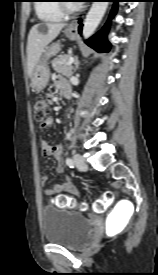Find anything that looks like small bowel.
<instances>
[{"label":"small bowel","mask_w":158,"mask_h":275,"mask_svg":"<svg viewBox=\"0 0 158 275\" xmlns=\"http://www.w3.org/2000/svg\"><path fill=\"white\" fill-rule=\"evenodd\" d=\"M56 86L62 90L63 88L68 87L69 85L68 83L63 79V78H58L56 80ZM53 124V120L52 119H47L43 125L44 128H49L51 127ZM40 149H41V154L44 157H53L58 161V164L56 166V172L58 174H63L64 173V166L61 162L62 156H63V147L61 145H55V146H51L49 145L46 141L42 140L40 142ZM48 178L46 175H42L39 178V182L40 184L43 186L46 184ZM66 191L69 192L73 195L78 196V191L75 188V186L72 183V180L70 178V176L68 175H64L62 178V183L61 184H57L54 185L51 188H48L44 191V194L48 197H53L56 196L58 194H60L61 192Z\"/></svg>","instance_id":"small-bowel-1"}]
</instances>
